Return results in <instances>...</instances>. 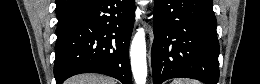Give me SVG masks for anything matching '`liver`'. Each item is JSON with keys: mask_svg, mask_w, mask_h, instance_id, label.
I'll return each mask as SVG.
<instances>
[{"mask_svg": "<svg viewBox=\"0 0 260 84\" xmlns=\"http://www.w3.org/2000/svg\"><path fill=\"white\" fill-rule=\"evenodd\" d=\"M67 84H116V80L108 76L88 73L72 77Z\"/></svg>", "mask_w": 260, "mask_h": 84, "instance_id": "6515ba94", "label": "liver"}]
</instances>
